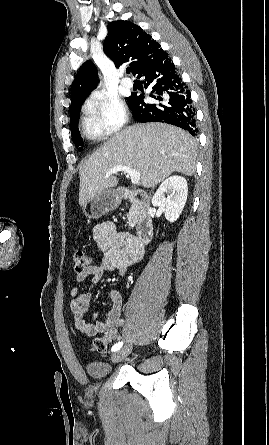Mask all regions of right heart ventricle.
I'll list each match as a JSON object with an SVG mask.
<instances>
[{
    "instance_id": "1",
    "label": "right heart ventricle",
    "mask_w": 269,
    "mask_h": 445,
    "mask_svg": "<svg viewBox=\"0 0 269 445\" xmlns=\"http://www.w3.org/2000/svg\"><path fill=\"white\" fill-rule=\"evenodd\" d=\"M82 130L90 140H98L105 134L89 115L82 118Z\"/></svg>"
}]
</instances>
